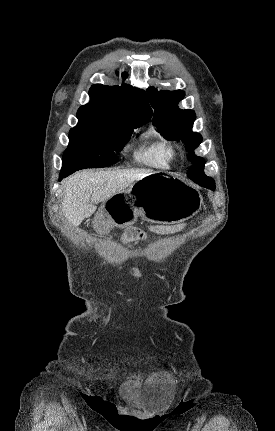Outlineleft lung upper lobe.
<instances>
[{"instance_id": "1", "label": "left lung upper lobe", "mask_w": 275, "mask_h": 431, "mask_svg": "<svg viewBox=\"0 0 275 431\" xmlns=\"http://www.w3.org/2000/svg\"><path fill=\"white\" fill-rule=\"evenodd\" d=\"M147 94L151 106L155 109L153 123L163 131L165 138L182 140L186 144V150L189 152L188 159L193 163L187 175L204 174L205 160L194 154V149L202 142V136L191 131L195 113L193 110H182L177 106L185 93L181 90L157 91L156 88L150 87L147 89Z\"/></svg>"}]
</instances>
